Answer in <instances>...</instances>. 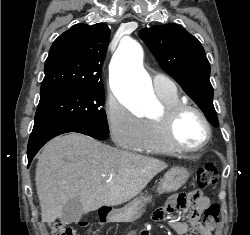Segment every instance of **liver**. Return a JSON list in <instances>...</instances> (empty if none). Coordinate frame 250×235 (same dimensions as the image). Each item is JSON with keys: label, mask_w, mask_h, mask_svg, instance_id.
Segmentation results:
<instances>
[{"label": "liver", "mask_w": 250, "mask_h": 235, "mask_svg": "<svg viewBox=\"0 0 250 235\" xmlns=\"http://www.w3.org/2000/svg\"><path fill=\"white\" fill-rule=\"evenodd\" d=\"M168 165L155 158L70 133L51 140L39 156L35 181L43 222L60 218L71 199L82 214L136 197Z\"/></svg>", "instance_id": "liver-1"}]
</instances>
